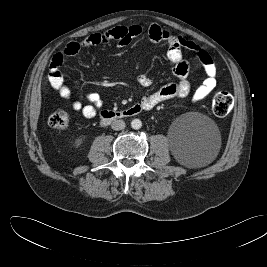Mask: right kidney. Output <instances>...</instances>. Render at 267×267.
<instances>
[{
  "label": "right kidney",
  "instance_id": "ca27d5eb",
  "mask_svg": "<svg viewBox=\"0 0 267 267\" xmlns=\"http://www.w3.org/2000/svg\"><path fill=\"white\" fill-rule=\"evenodd\" d=\"M81 141H82L81 139H77L76 142H75V144L76 145H79L81 143Z\"/></svg>",
  "mask_w": 267,
  "mask_h": 267
}]
</instances>
